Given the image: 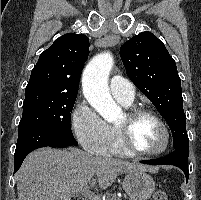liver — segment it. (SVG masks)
Wrapping results in <instances>:
<instances>
[{
	"instance_id": "liver-1",
	"label": "liver",
	"mask_w": 201,
	"mask_h": 200,
	"mask_svg": "<svg viewBox=\"0 0 201 200\" xmlns=\"http://www.w3.org/2000/svg\"><path fill=\"white\" fill-rule=\"evenodd\" d=\"M150 169L75 148L44 147L30 153L17 173L18 200H69L97 183L100 189H106L121 174Z\"/></svg>"
}]
</instances>
